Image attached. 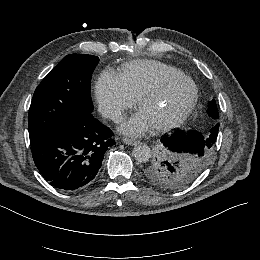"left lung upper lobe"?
Here are the masks:
<instances>
[{
	"mask_svg": "<svg viewBox=\"0 0 260 260\" xmlns=\"http://www.w3.org/2000/svg\"><path fill=\"white\" fill-rule=\"evenodd\" d=\"M212 124L219 118L215 100L208 104ZM217 125V124H216ZM204 135L209 130L202 131ZM212 149L195 155L176 154L162 142L158 143L153 157L143 166V176L155 186L166 190H178L191 185L204 171L212 158Z\"/></svg>",
	"mask_w": 260,
	"mask_h": 260,
	"instance_id": "obj_1",
	"label": "left lung upper lobe"
}]
</instances>
